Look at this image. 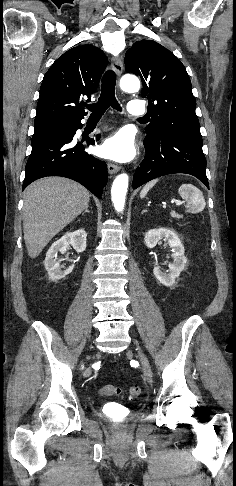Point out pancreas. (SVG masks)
I'll use <instances>...</instances> for the list:
<instances>
[{
    "label": "pancreas",
    "instance_id": "1",
    "mask_svg": "<svg viewBox=\"0 0 236 486\" xmlns=\"http://www.w3.org/2000/svg\"><path fill=\"white\" fill-rule=\"evenodd\" d=\"M171 216H172L173 218H177V219L182 218V215H180V214H178V213H175V212H172V213H171Z\"/></svg>",
    "mask_w": 236,
    "mask_h": 486
}]
</instances>
